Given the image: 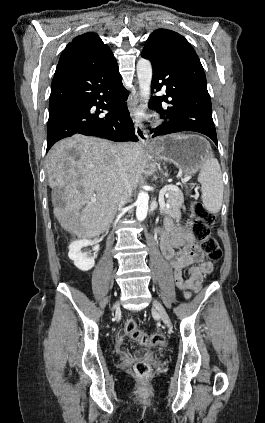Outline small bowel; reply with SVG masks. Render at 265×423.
<instances>
[{
    "instance_id": "small-bowel-1",
    "label": "small bowel",
    "mask_w": 265,
    "mask_h": 423,
    "mask_svg": "<svg viewBox=\"0 0 265 423\" xmlns=\"http://www.w3.org/2000/svg\"><path fill=\"white\" fill-rule=\"evenodd\" d=\"M158 229L161 251L173 270L175 284L189 298L192 291L200 289L204 276L212 270V264L204 259L193 234L186 227L166 217ZM177 248H182V251L177 252ZM187 267H190L189 276L185 279L183 271ZM117 349L124 359L132 358L125 343L124 331L118 333Z\"/></svg>"
}]
</instances>
